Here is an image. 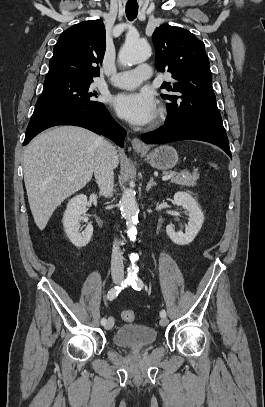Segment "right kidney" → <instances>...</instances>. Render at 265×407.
<instances>
[{
    "instance_id": "1",
    "label": "right kidney",
    "mask_w": 265,
    "mask_h": 407,
    "mask_svg": "<svg viewBox=\"0 0 265 407\" xmlns=\"http://www.w3.org/2000/svg\"><path fill=\"white\" fill-rule=\"evenodd\" d=\"M87 197L83 194L73 197L67 204L63 216V226L71 243L77 248L86 246L92 237L93 226L89 223L83 232H79L80 221L87 222Z\"/></svg>"
}]
</instances>
